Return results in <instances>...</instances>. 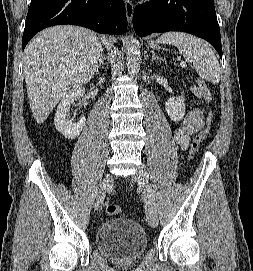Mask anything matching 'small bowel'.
<instances>
[{"label":"small bowel","mask_w":253,"mask_h":271,"mask_svg":"<svg viewBox=\"0 0 253 271\" xmlns=\"http://www.w3.org/2000/svg\"><path fill=\"white\" fill-rule=\"evenodd\" d=\"M191 90L196 97H200L199 90L196 86H192ZM204 126V111L201 108H193L187 113L185 119L175 128L173 138L182 150H186L192 135L204 128Z\"/></svg>","instance_id":"obj_1"}]
</instances>
